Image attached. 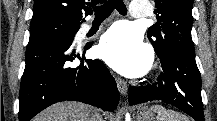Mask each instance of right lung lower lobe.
I'll list each match as a JSON object with an SVG mask.
<instances>
[{"label":"right lung lower lobe","mask_w":217,"mask_h":121,"mask_svg":"<svg viewBox=\"0 0 217 121\" xmlns=\"http://www.w3.org/2000/svg\"><path fill=\"white\" fill-rule=\"evenodd\" d=\"M55 36L29 42L19 93V120L29 121L53 103L73 100L113 111L119 102L116 82L102 61L85 58L92 46Z\"/></svg>","instance_id":"1"}]
</instances>
